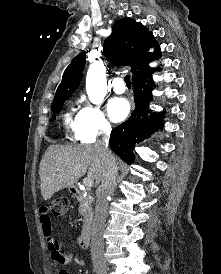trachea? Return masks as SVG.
I'll list each match as a JSON object with an SVG mask.
<instances>
[{
	"mask_svg": "<svg viewBox=\"0 0 221 274\" xmlns=\"http://www.w3.org/2000/svg\"><path fill=\"white\" fill-rule=\"evenodd\" d=\"M124 81H125L126 85H128V86L131 85L130 75H126L124 77Z\"/></svg>",
	"mask_w": 221,
	"mask_h": 274,
	"instance_id": "trachea-1",
	"label": "trachea"
}]
</instances>
